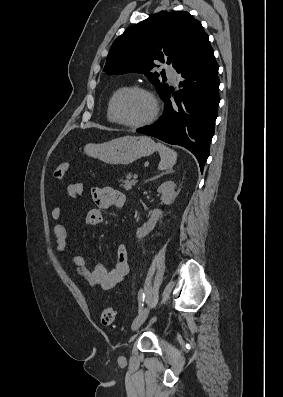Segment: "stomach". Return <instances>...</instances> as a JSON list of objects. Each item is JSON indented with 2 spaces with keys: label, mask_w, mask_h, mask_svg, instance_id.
<instances>
[{
  "label": "stomach",
  "mask_w": 283,
  "mask_h": 397,
  "mask_svg": "<svg viewBox=\"0 0 283 397\" xmlns=\"http://www.w3.org/2000/svg\"><path fill=\"white\" fill-rule=\"evenodd\" d=\"M157 150L156 143L147 136H123L101 144L89 143L84 153L107 164L128 165Z\"/></svg>",
  "instance_id": "1"
}]
</instances>
